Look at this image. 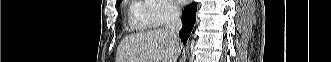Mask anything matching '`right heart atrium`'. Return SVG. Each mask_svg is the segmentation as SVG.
Returning <instances> with one entry per match:
<instances>
[{
    "label": "right heart atrium",
    "mask_w": 331,
    "mask_h": 62,
    "mask_svg": "<svg viewBox=\"0 0 331 62\" xmlns=\"http://www.w3.org/2000/svg\"><path fill=\"white\" fill-rule=\"evenodd\" d=\"M140 3L148 12V27L158 28L179 15V8L169 0H142Z\"/></svg>",
    "instance_id": "1"
}]
</instances>
